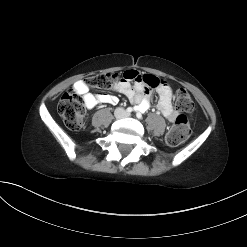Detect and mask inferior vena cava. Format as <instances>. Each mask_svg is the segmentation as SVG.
I'll return each mask as SVG.
<instances>
[{
    "instance_id": "inferior-vena-cava-1",
    "label": "inferior vena cava",
    "mask_w": 247,
    "mask_h": 247,
    "mask_svg": "<svg viewBox=\"0 0 247 247\" xmlns=\"http://www.w3.org/2000/svg\"><path fill=\"white\" fill-rule=\"evenodd\" d=\"M115 114L118 118H123V117L127 116V112L125 110H123L122 108H117L115 110Z\"/></svg>"
}]
</instances>
